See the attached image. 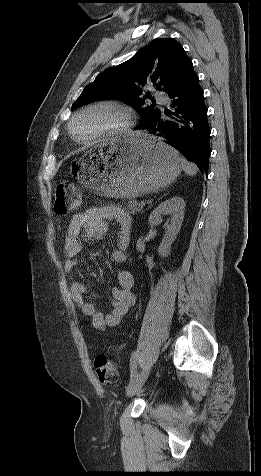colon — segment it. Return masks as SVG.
<instances>
[{
	"mask_svg": "<svg viewBox=\"0 0 261 476\" xmlns=\"http://www.w3.org/2000/svg\"><path fill=\"white\" fill-rule=\"evenodd\" d=\"M80 204V194L70 181L61 182L56 189L54 210L59 215H65L76 209ZM94 367L99 381L102 384H114L118 380V373L114 363L105 354H98L94 360Z\"/></svg>",
	"mask_w": 261,
	"mask_h": 476,
	"instance_id": "1",
	"label": "colon"
}]
</instances>
